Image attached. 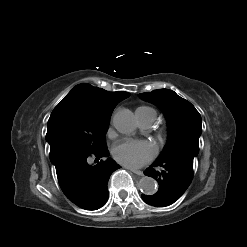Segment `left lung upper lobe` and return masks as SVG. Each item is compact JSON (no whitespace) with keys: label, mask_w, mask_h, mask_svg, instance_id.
Wrapping results in <instances>:
<instances>
[{"label":"left lung upper lobe","mask_w":247,"mask_h":247,"mask_svg":"<svg viewBox=\"0 0 247 247\" xmlns=\"http://www.w3.org/2000/svg\"><path fill=\"white\" fill-rule=\"evenodd\" d=\"M139 96L157 105L167 118L169 136L159 158L178 153L197 156L202 125L201 116L195 107L169 89H158Z\"/></svg>","instance_id":"1"}]
</instances>
